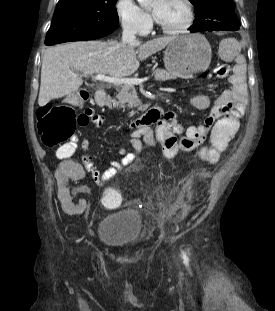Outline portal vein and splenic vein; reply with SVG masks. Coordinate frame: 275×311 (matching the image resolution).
<instances>
[{"mask_svg":"<svg viewBox=\"0 0 275 311\" xmlns=\"http://www.w3.org/2000/svg\"><path fill=\"white\" fill-rule=\"evenodd\" d=\"M93 79L98 81H103L106 83H111L114 85H141L144 81L143 79L137 78H126V77H109L105 74H98L93 77Z\"/></svg>","mask_w":275,"mask_h":311,"instance_id":"portal-vein-and-splenic-vein-1","label":"portal vein and splenic vein"}]
</instances>
